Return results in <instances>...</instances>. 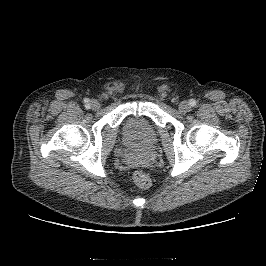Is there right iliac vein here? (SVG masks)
<instances>
[{
    "mask_svg": "<svg viewBox=\"0 0 266 266\" xmlns=\"http://www.w3.org/2000/svg\"><path fill=\"white\" fill-rule=\"evenodd\" d=\"M90 107L93 109V110H98L100 108V103L93 99L90 101Z\"/></svg>",
    "mask_w": 266,
    "mask_h": 266,
    "instance_id": "1",
    "label": "right iliac vein"
}]
</instances>
